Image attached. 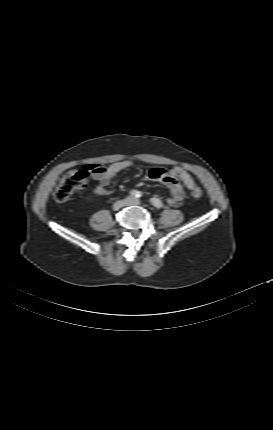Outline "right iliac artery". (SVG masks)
<instances>
[{"instance_id":"obj_1","label":"right iliac artery","mask_w":273,"mask_h":430,"mask_svg":"<svg viewBox=\"0 0 273 430\" xmlns=\"http://www.w3.org/2000/svg\"><path fill=\"white\" fill-rule=\"evenodd\" d=\"M129 193L130 196L133 198H139L141 196V192L137 190H131Z\"/></svg>"}]
</instances>
